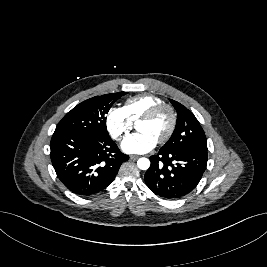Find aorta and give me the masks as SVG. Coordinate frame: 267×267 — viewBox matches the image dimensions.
<instances>
[{
	"label": "aorta",
	"mask_w": 267,
	"mask_h": 267,
	"mask_svg": "<svg viewBox=\"0 0 267 267\" xmlns=\"http://www.w3.org/2000/svg\"><path fill=\"white\" fill-rule=\"evenodd\" d=\"M137 166L141 170H147L150 167V160L145 157L139 158L137 161Z\"/></svg>",
	"instance_id": "1"
}]
</instances>
